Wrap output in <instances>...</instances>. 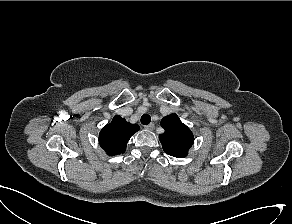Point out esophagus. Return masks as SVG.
I'll list each match as a JSON object with an SVG mask.
<instances>
[{
	"label": "esophagus",
	"mask_w": 292,
	"mask_h": 224,
	"mask_svg": "<svg viewBox=\"0 0 292 224\" xmlns=\"http://www.w3.org/2000/svg\"><path fill=\"white\" fill-rule=\"evenodd\" d=\"M145 129H146V130H149V131L154 130V124H153V123H150V124L146 125V126H145Z\"/></svg>",
	"instance_id": "obj_1"
}]
</instances>
